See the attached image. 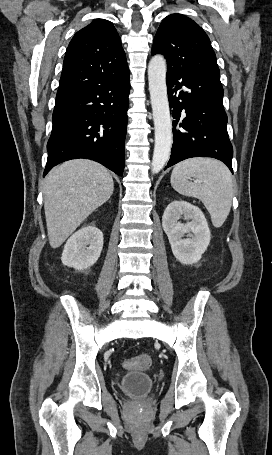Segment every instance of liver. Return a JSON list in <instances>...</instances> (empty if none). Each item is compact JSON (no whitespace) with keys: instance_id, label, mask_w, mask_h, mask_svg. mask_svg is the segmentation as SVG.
Returning <instances> with one entry per match:
<instances>
[{"instance_id":"obj_1","label":"liver","mask_w":272,"mask_h":455,"mask_svg":"<svg viewBox=\"0 0 272 455\" xmlns=\"http://www.w3.org/2000/svg\"><path fill=\"white\" fill-rule=\"evenodd\" d=\"M114 183L102 165L77 159L62 163L46 176L44 210L49 244L58 248L112 195Z\"/></svg>"}]
</instances>
